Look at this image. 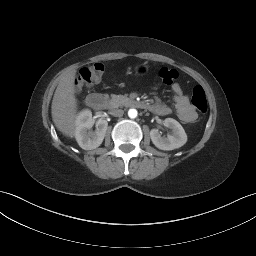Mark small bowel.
<instances>
[{
    "label": "small bowel",
    "mask_w": 256,
    "mask_h": 256,
    "mask_svg": "<svg viewBox=\"0 0 256 256\" xmlns=\"http://www.w3.org/2000/svg\"><path fill=\"white\" fill-rule=\"evenodd\" d=\"M173 93V102L179 119L184 123H193L197 114L194 107L190 104L189 98L183 93L181 86L178 83H174L171 87ZM150 106V110L157 115L166 116L171 113V109L160 102L153 103Z\"/></svg>",
    "instance_id": "1"
}]
</instances>
